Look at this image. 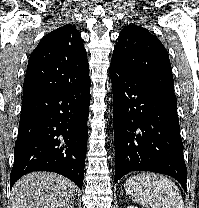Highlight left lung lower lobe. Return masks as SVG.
<instances>
[{"mask_svg": "<svg viewBox=\"0 0 199 208\" xmlns=\"http://www.w3.org/2000/svg\"><path fill=\"white\" fill-rule=\"evenodd\" d=\"M115 183L131 171L174 177L186 191L187 168L174 91L145 82L111 63Z\"/></svg>", "mask_w": 199, "mask_h": 208, "instance_id": "obj_1", "label": "left lung lower lobe"}]
</instances>
